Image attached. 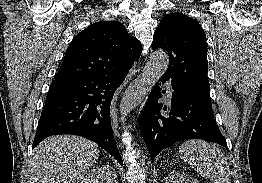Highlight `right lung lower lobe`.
Listing matches in <instances>:
<instances>
[{"label": "right lung lower lobe", "instance_id": "1", "mask_svg": "<svg viewBox=\"0 0 262 183\" xmlns=\"http://www.w3.org/2000/svg\"><path fill=\"white\" fill-rule=\"evenodd\" d=\"M127 73L53 81L32 148L51 135H79L97 143L122 165L112 132L110 105Z\"/></svg>", "mask_w": 262, "mask_h": 183}]
</instances>
